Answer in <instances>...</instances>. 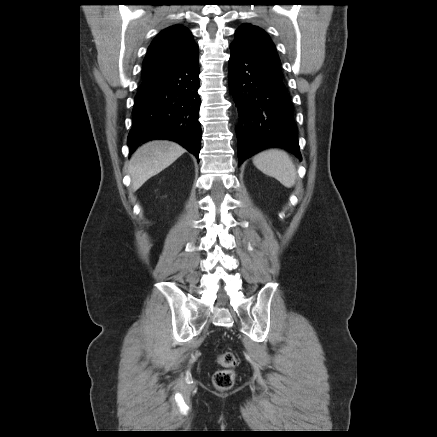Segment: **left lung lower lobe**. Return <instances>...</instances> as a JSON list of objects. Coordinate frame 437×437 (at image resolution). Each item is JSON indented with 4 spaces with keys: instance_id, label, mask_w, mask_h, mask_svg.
Segmentation results:
<instances>
[{
    "instance_id": "left-lung-lower-lobe-1",
    "label": "left lung lower lobe",
    "mask_w": 437,
    "mask_h": 437,
    "mask_svg": "<svg viewBox=\"0 0 437 437\" xmlns=\"http://www.w3.org/2000/svg\"><path fill=\"white\" fill-rule=\"evenodd\" d=\"M228 80L239 114L238 162L268 147L301 160L293 105L283 78L231 44Z\"/></svg>"
}]
</instances>
